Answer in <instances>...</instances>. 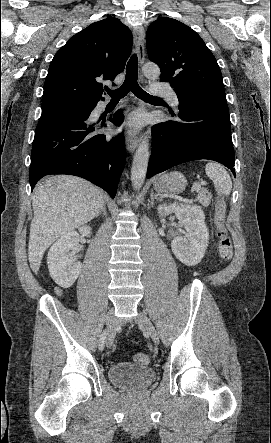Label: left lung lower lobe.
<instances>
[{
  "instance_id": "obj_1",
  "label": "left lung lower lobe",
  "mask_w": 271,
  "mask_h": 443,
  "mask_svg": "<svg viewBox=\"0 0 271 443\" xmlns=\"http://www.w3.org/2000/svg\"><path fill=\"white\" fill-rule=\"evenodd\" d=\"M161 81H167L161 79ZM182 121L152 127L153 146L147 178L175 165L209 159L228 167L235 176L234 149L226 97L183 89L176 92ZM171 115H175L170 111Z\"/></svg>"
}]
</instances>
